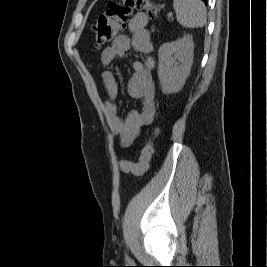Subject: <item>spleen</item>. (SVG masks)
Returning a JSON list of instances; mask_svg holds the SVG:
<instances>
[{
  "instance_id": "1",
  "label": "spleen",
  "mask_w": 267,
  "mask_h": 267,
  "mask_svg": "<svg viewBox=\"0 0 267 267\" xmlns=\"http://www.w3.org/2000/svg\"><path fill=\"white\" fill-rule=\"evenodd\" d=\"M173 8L183 27L196 28L206 24L207 11L201 0H173Z\"/></svg>"
}]
</instances>
